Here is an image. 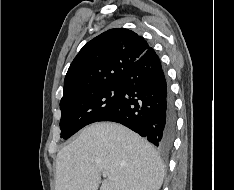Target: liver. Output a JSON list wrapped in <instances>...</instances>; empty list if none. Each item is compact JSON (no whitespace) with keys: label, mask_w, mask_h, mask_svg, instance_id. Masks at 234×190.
Masks as SVG:
<instances>
[{"label":"liver","mask_w":234,"mask_h":190,"mask_svg":"<svg viewBox=\"0 0 234 190\" xmlns=\"http://www.w3.org/2000/svg\"><path fill=\"white\" fill-rule=\"evenodd\" d=\"M159 190L165 171L155 149L138 134L111 122L94 123L59 151L56 190Z\"/></svg>","instance_id":"6515ba94"}]
</instances>
